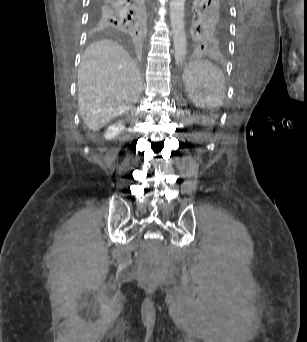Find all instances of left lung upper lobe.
Here are the masks:
<instances>
[{
	"instance_id": "obj_1",
	"label": "left lung upper lobe",
	"mask_w": 307,
	"mask_h": 342,
	"mask_svg": "<svg viewBox=\"0 0 307 342\" xmlns=\"http://www.w3.org/2000/svg\"><path fill=\"white\" fill-rule=\"evenodd\" d=\"M190 26L197 49L222 53L228 41L227 0H191Z\"/></svg>"
}]
</instances>
